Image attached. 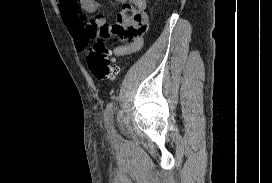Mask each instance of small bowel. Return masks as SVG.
<instances>
[{"mask_svg":"<svg viewBox=\"0 0 272 183\" xmlns=\"http://www.w3.org/2000/svg\"><path fill=\"white\" fill-rule=\"evenodd\" d=\"M123 5L113 24L109 25L103 16L92 19L87 13L96 12L100 4L95 0H58L63 21L74 40L77 50L83 51L96 39H116V43H126L115 48L116 55H126L139 51L143 46V34L148 27L149 16L146 0H116ZM125 30V31H110Z\"/></svg>","mask_w":272,"mask_h":183,"instance_id":"1","label":"small bowel"}]
</instances>
